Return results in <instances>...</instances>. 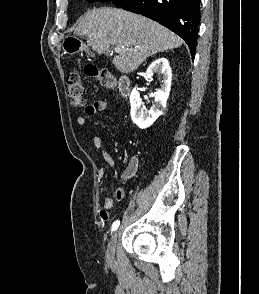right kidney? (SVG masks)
Listing matches in <instances>:
<instances>
[{
  "label": "right kidney",
  "instance_id": "1",
  "mask_svg": "<svg viewBox=\"0 0 259 294\" xmlns=\"http://www.w3.org/2000/svg\"><path fill=\"white\" fill-rule=\"evenodd\" d=\"M155 73L162 76V85L155 93L154 104L150 110L142 103L138 91L140 88L135 87L130 95L131 119L141 129L151 126L163 114L171 89L172 72L166 58L161 57L153 61L147 68L146 77L151 79Z\"/></svg>",
  "mask_w": 259,
  "mask_h": 294
}]
</instances>
